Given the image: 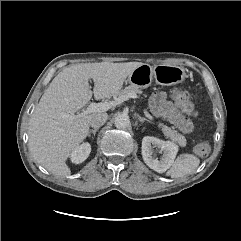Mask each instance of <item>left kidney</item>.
<instances>
[{
	"instance_id": "obj_1",
	"label": "left kidney",
	"mask_w": 241,
	"mask_h": 241,
	"mask_svg": "<svg viewBox=\"0 0 241 241\" xmlns=\"http://www.w3.org/2000/svg\"><path fill=\"white\" fill-rule=\"evenodd\" d=\"M154 148L160 149L163 156L160 160L154 157ZM178 146L171 141L145 136L142 140V157L148 167L158 173H164L172 165Z\"/></svg>"
}]
</instances>
